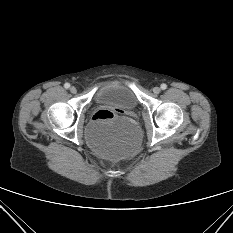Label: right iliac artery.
Masks as SVG:
<instances>
[{"instance_id":"82829eb1","label":"right iliac artery","mask_w":233,"mask_h":233,"mask_svg":"<svg viewBox=\"0 0 233 233\" xmlns=\"http://www.w3.org/2000/svg\"><path fill=\"white\" fill-rule=\"evenodd\" d=\"M64 87H65L66 89H69V88H70V84H69V83H65V84H64Z\"/></svg>"}]
</instances>
